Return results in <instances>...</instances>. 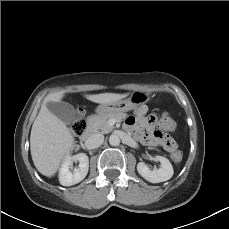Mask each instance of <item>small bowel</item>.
<instances>
[{"mask_svg":"<svg viewBox=\"0 0 229 229\" xmlns=\"http://www.w3.org/2000/svg\"><path fill=\"white\" fill-rule=\"evenodd\" d=\"M164 117L170 118L168 116ZM172 123L174 128L170 132L174 131L176 127L173 120ZM125 126L142 145L150 148L159 146L160 142L153 133L158 126V119L155 114L149 113L147 106L139 107L133 115L129 116Z\"/></svg>","mask_w":229,"mask_h":229,"instance_id":"1","label":"small bowel"}]
</instances>
